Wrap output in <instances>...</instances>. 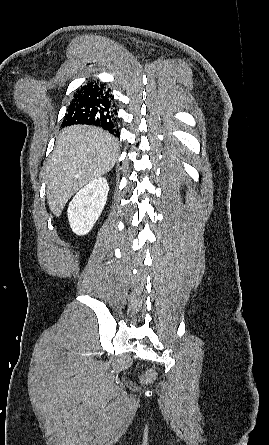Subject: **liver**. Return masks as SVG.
<instances>
[{"label": "liver", "instance_id": "liver-1", "mask_svg": "<svg viewBox=\"0 0 269 445\" xmlns=\"http://www.w3.org/2000/svg\"><path fill=\"white\" fill-rule=\"evenodd\" d=\"M118 144L101 128H64L46 168L47 202L56 217L84 185L109 172L118 158Z\"/></svg>", "mask_w": 269, "mask_h": 445}]
</instances>
